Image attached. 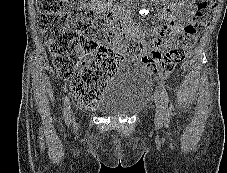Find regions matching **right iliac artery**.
I'll return each instance as SVG.
<instances>
[{
	"label": "right iliac artery",
	"instance_id": "82829eb1",
	"mask_svg": "<svg viewBox=\"0 0 227 173\" xmlns=\"http://www.w3.org/2000/svg\"><path fill=\"white\" fill-rule=\"evenodd\" d=\"M64 116H65V121L67 124H69L70 121V103L69 99L66 96L64 99Z\"/></svg>",
	"mask_w": 227,
	"mask_h": 173
}]
</instances>
